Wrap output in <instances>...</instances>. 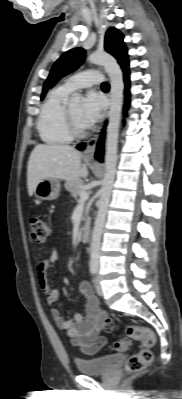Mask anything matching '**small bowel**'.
Instances as JSON below:
<instances>
[{
  "label": "small bowel",
  "mask_w": 182,
  "mask_h": 399,
  "mask_svg": "<svg viewBox=\"0 0 182 399\" xmlns=\"http://www.w3.org/2000/svg\"><path fill=\"white\" fill-rule=\"evenodd\" d=\"M59 259V252L52 250L37 264L38 284L45 292L46 301L50 305L58 302L59 292L50 284L48 271ZM79 292L85 303V315L76 312L70 318H65L56 308H52L50 314L56 326L66 331L73 346L80 348L86 354H95L107 344V338L101 335V331H111L114 323L100 310L89 282L81 281Z\"/></svg>",
  "instance_id": "small-bowel-1"
}]
</instances>
